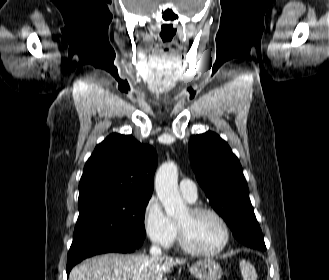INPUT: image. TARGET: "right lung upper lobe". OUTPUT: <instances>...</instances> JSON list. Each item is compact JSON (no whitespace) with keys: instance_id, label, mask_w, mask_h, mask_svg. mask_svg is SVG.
I'll list each match as a JSON object with an SVG mask.
<instances>
[{"instance_id":"right-lung-upper-lobe-1","label":"right lung upper lobe","mask_w":329,"mask_h":280,"mask_svg":"<svg viewBox=\"0 0 329 280\" xmlns=\"http://www.w3.org/2000/svg\"><path fill=\"white\" fill-rule=\"evenodd\" d=\"M156 151L131 135L111 134L96 146L79 183V201L119 196H151Z\"/></svg>"}]
</instances>
